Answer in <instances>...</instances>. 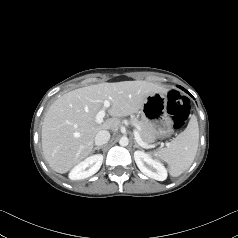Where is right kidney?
<instances>
[{"label": "right kidney", "instance_id": "right-kidney-1", "mask_svg": "<svg viewBox=\"0 0 238 238\" xmlns=\"http://www.w3.org/2000/svg\"><path fill=\"white\" fill-rule=\"evenodd\" d=\"M102 162L103 155L101 154L89 156L70 171L69 178L71 180H81L88 178L100 169Z\"/></svg>", "mask_w": 238, "mask_h": 238}]
</instances>
